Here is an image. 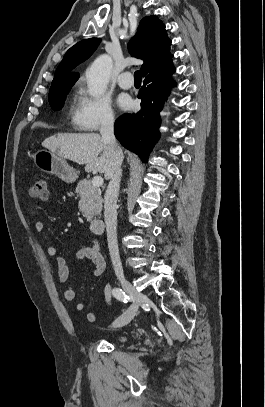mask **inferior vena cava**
<instances>
[{
  "instance_id": "1",
  "label": "inferior vena cava",
  "mask_w": 265,
  "mask_h": 407,
  "mask_svg": "<svg viewBox=\"0 0 265 407\" xmlns=\"http://www.w3.org/2000/svg\"><path fill=\"white\" fill-rule=\"evenodd\" d=\"M100 134L102 136L103 141L108 143L113 148L116 157L114 171L110 177V182L104 196V218L107 231L108 248L112 265L115 274L118 277H122L123 268L119 256L117 242L116 203L122 175L121 164L123 161V153L116 143V138L114 135V116L111 113H108L103 117L101 121Z\"/></svg>"
}]
</instances>
